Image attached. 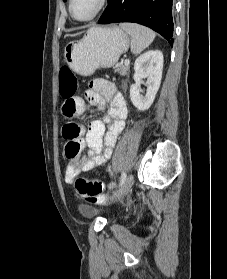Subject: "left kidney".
I'll return each instance as SVG.
<instances>
[{
	"mask_svg": "<svg viewBox=\"0 0 227 279\" xmlns=\"http://www.w3.org/2000/svg\"><path fill=\"white\" fill-rule=\"evenodd\" d=\"M163 69V54L161 51H148L138 57L134 64V81L130 87V99L140 111H145L152 105L160 87ZM148 77L146 94L141 92L142 79Z\"/></svg>",
	"mask_w": 227,
	"mask_h": 279,
	"instance_id": "1",
	"label": "left kidney"
}]
</instances>
